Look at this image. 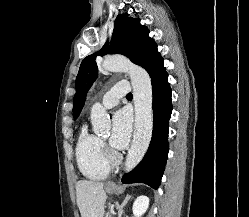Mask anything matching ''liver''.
<instances>
[{"instance_id": "obj_1", "label": "liver", "mask_w": 249, "mask_h": 217, "mask_svg": "<svg viewBox=\"0 0 249 217\" xmlns=\"http://www.w3.org/2000/svg\"><path fill=\"white\" fill-rule=\"evenodd\" d=\"M76 195L81 217H103L107 197L102 182L78 181Z\"/></svg>"}]
</instances>
